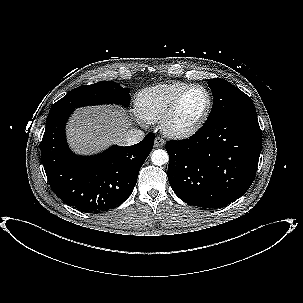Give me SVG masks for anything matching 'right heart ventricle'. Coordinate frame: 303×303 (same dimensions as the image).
I'll return each mask as SVG.
<instances>
[{
  "mask_svg": "<svg viewBox=\"0 0 303 303\" xmlns=\"http://www.w3.org/2000/svg\"><path fill=\"white\" fill-rule=\"evenodd\" d=\"M189 85L175 81L142 89L135 101L139 117L147 123L160 121L179 94Z\"/></svg>",
  "mask_w": 303,
  "mask_h": 303,
  "instance_id": "e07e8e85",
  "label": "right heart ventricle"
}]
</instances>
